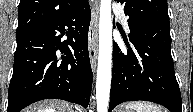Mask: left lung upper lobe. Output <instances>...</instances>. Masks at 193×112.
<instances>
[{"instance_id":"1","label":"left lung upper lobe","mask_w":193,"mask_h":112,"mask_svg":"<svg viewBox=\"0 0 193 112\" xmlns=\"http://www.w3.org/2000/svg\"><path fill=\"white\" fill-rule=\"evenodd\" d=\"M124 4L128 25L156 19H169L166 0H115Z\"/></svg>"}]
</instances>
